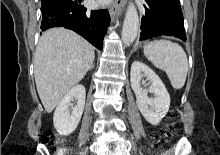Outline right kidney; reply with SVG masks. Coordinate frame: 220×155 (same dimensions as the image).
<instances>
[{
    "label": "right kidney",
    "mask_w": 220,
    "mask_h": 155,
    "mask_svg": "<svg viewBox=\"0 0 220 155\" xmlns=\"http://www.w3.org/2000/svg\"><path fill=\"white\" fill-rule=\"evenodd\" d=\"M86 91L83 85L74 86L62 98L58 104L53 117L56 131L63 136L70 135L77 128L82 117L85 106ZM75 99L77 105L70 112L71 101Z\"/></svg>",
    "instance_id": "ca27d5eb"
}]
</instances>
